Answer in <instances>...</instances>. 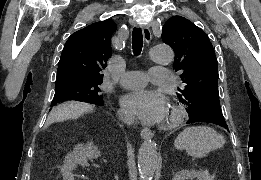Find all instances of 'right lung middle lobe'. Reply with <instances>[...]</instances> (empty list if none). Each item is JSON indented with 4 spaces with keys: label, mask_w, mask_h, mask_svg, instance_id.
<instances>
[{
    "label": "right lung middle lobe",
    "mask_w": 261,
    "mask_h": 180,
    "mask_svg": "<svg viewBox=\"0 0 261 180\" xmlns=\"http://www.w3.org/2000/svg\"><path fill=\"white\" fill-rule=\"evenodd\" d=\"M102 81H78L71 80L55 85V95L51 106L67 100L82 101L91 104H103V96L100 94Z\"/></svg>",
    "instance_id": "obj_1"
}]
</instances>
